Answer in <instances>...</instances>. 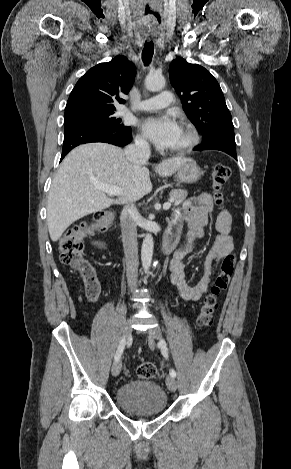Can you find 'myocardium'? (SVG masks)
Wrapping results in <instances>:
<instances>
[{
    "label": "myocardium",
    "mask_w": 291,
    "mask_h": 469,
    "mask_svg": "<svg viewBox=\"0 0 291 469\" xmlns=\"http://www.w3.org/2000/svg\"><path fill=\"white\" fill-rule=\"evenodd\" d=\"M182 129L188 133V141L177 148H172L170 151L175 154H185L193 150L199 143V134L196 128L189 122L182 123Z\"/></svg>",
    "instance_id": "obj_1"
}]
</instances>
